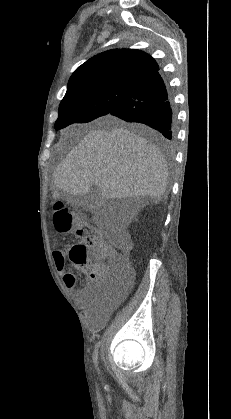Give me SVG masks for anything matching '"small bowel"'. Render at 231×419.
<instances>
[{
	"mask_svg": "<svg viewBox=\"0 0 231 419\" xmlns=\"http://www.w3.org/2000/svg\"><path fill=\"white\" fill-rule=\"evenodd\" d=\"M55 263H56L57 268L62 272V276H63L62 279H63V283L65 287L68 289H72L76 285V282H77L76 276L73 273L66 271L64 261L61 262L60 260L58 261L55 259ZM81 270L86 271V268H81ZM79 295H80V299H78L79 304L82 306L86 305L90 297V288L86 287L80 290Z\"/></svg>",
	"mask_w": 231,
	"mask_h": 419,
	"instance_id": "c3829d8e",
	"label": "small bowel"
}]
</instances>
